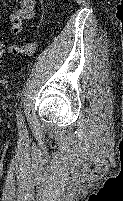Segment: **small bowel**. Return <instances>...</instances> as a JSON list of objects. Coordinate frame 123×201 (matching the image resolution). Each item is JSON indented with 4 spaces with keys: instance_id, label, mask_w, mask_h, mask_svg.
Listing matches in <instances>:
<instances>
[{
    "instance_id": "1",
    "label": "small bowel",
    "mask_w": 123,
    "mask_h": 201,
    "mask_svg": "<svg viewBox=\"0 0 123 201\" xmlns=\"http://www.w3.org/2000/svg\"><path fill=\"white\" fill-rule=\"evenodd\" d=\"M18 2V7L13 12L9 13L7 21L9 30L13 34H18L22 30V23L26 19H30L35 14V0H15Z\"/></svg>"
}]
</instances>
